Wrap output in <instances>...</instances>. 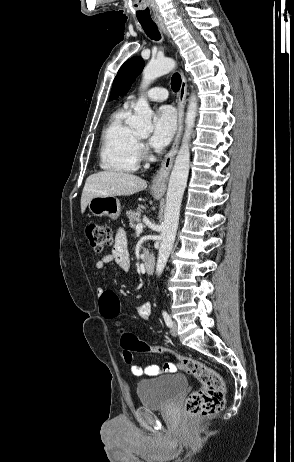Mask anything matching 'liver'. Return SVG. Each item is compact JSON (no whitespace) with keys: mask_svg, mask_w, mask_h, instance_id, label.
Listing matches in <instances>:
<instances>
[{"mask_svg":"<svg viewBox=\"0 0 294 462\" xmlns=\"http://www.w3.org/2000/svg\"><path fill=\"white\" fill-rule=\"evenodd\" d=\"M147 182L130 173L102 171L90 175L81 196V212H85L90 200L96 196H130L146 189Z\"/></svg>","mask_w":294,"mask_h":462,"instance_id":"liver-1","label":"liver"}]
</instances>
